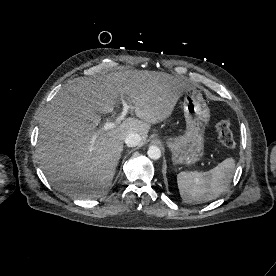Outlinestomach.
Segmentation results:
<instances>
[{"label": "stomach", "mask_w": 276, "mask_h": 276, "mask_svg": "<svg viewBox=\"0 0 276 276\" xmlns=\"http://www.w3.org/2000/svg\"><path fill=\"white\" fill-rule=\"evenodd\" d=\"M186 130L183 135L168 138L166 143L174 164L192 166L204 155L205 128L210 120V110L196 89L184 92L182 101Z\"/></svg>", "instance_id": "stomach-1"}]
</instances>
